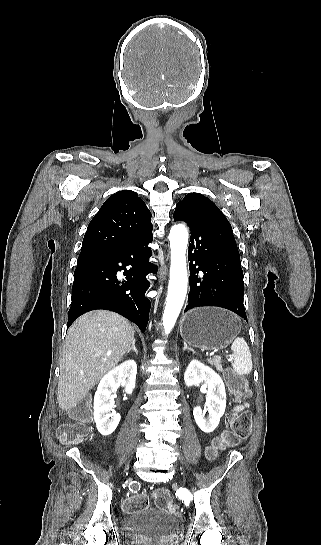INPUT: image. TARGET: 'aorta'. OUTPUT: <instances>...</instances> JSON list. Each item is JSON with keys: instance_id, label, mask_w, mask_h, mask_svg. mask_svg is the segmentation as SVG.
Segmentation results:
<instances>
[{"instance_id": "1", "label": "aorta", "mask_w": 321, "mask_h": 545, "mask_svg": "<svg viewBox=\"0 0 321 545\" xmlns=\"http://www.w3.org/2000/svg\"><path fill=\"white\" fill-rule=\"evenodd\" d=\"M169 242L171 250L170 279L166 306L162 317L166 334H169L174 327L187 293V228L183 224L174 225L170 230Z\"/></svg>"}]
</instances>
